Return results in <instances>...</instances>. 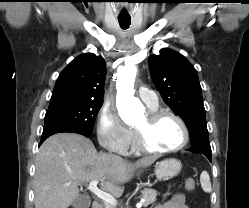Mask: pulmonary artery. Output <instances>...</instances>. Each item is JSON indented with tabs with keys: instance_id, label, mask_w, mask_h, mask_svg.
I'll use <instances>...</instances> for the list:
<instances>
[{
	"instance_id": "obj_1",
	"label": "pulmonary artery",
	"mask_w": 249,
	"mask_h": 208,
	"mask_svg": "<svg viewBox=\"0 0 249 208\" xmlns=\"http://www.w3.org/2000/svg\"><path fill=\"white\" fill-rule=\"evenodd\" d=\"M138 97L150 108L158 107V98L154 91L147 88H140L138 90Z\"/></svg>"
}]
</instances>
